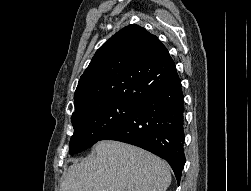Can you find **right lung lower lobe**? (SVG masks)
I'll use <instances>...</instances> for the list:
<instances>
[{
	"instance_id": "1",
	"label": "right lung lower lobe",
	"mask_w": 251,
	"mask_h": 191,
	"mask_svg": "<svg viewBox=\"0 0 251 191\" xmlns=\"http://www.w3.org/2000/svg\"><path fill=\"white\" fill-rule=\"evenodd\" d=\"M184 103L181 80L144 99L122 123L101 140H117L136 145L165 159L179 184L185 164Z\"/></svg>"
}]
</instances>
